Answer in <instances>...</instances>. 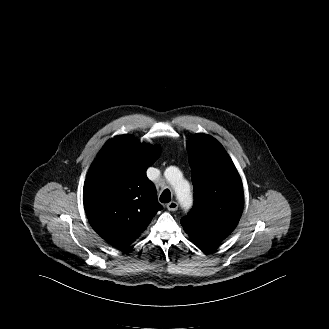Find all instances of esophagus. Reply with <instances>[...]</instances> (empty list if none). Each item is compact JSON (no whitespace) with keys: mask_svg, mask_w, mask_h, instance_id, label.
Wrapping results in <instances>:
<instances>
[{"mask_svg":"<svg viewBox=\"0 0 329 329\" xmlns=\"http://www.w3.org/2000/svg\"><path fill=\"white\" fill-rule=\"evenodd\" d=\"M167 209L169 211H176L178 209V203L175 201H172L170 203L167 204Z\"/></svg>","mask_w":329,"mask_h":329,"instance_id":"esophagus-1","label":"esophagus"}]
</instances>
